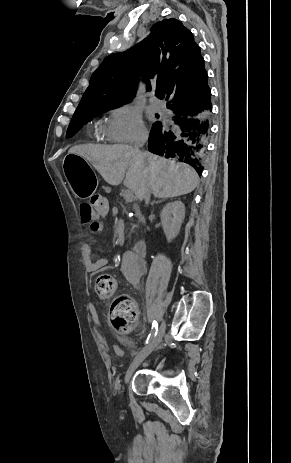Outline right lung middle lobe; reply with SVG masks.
Here are the masks:
<instances>
[{
	"label": "right lung middle lobe",
	"mask_w": 291,
	"mask_h": 463,
	"mask_svg": "<svg viewBox=\"0 0 291 463\" xmlns=\"http://www.w3.org/2000/svg\"><path fill=\"white\" fill-rule=\"evenodd\" d=\"M127 102H115V103H107L102 104L94 107L83 108V109H76L70 125L67 129L66 136L71 137L73 136L77 130L84 124L86 121L90 120V118L94 117L97 114H101L108 110L114 109L120 105H123Z\"/></svg>",
	"instance_id": "1"
}]
</instances>
